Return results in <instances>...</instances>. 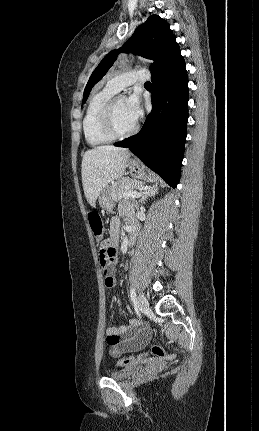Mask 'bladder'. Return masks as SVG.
<instances>
[{"instance_id": "obj_1", "label": "bladder", "mask_w": 259, "mask_h": 431, "mask_svg": "<svg viewBox=\"0 0 259 431\" xmlns=\"http://www.w3.org/2000/svg\"><path fill=\"white\" fill-rule=\"evenodd\" d=\"M136 371H137V368H128V369H123L119 371H113L108 373V377L116 381H122L130 378L132 375L136 373Z\"/></svg>"}]
</instances>
